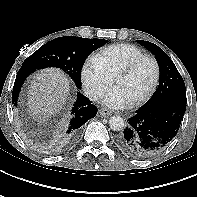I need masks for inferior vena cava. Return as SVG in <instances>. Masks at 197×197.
I'll return each mask as SVG.
<instances>
[{"label":"inferior vena cava","instance_id":"1","mask_svg":"<svg viewBox=\"0 0 197 197\" xmlns=\"http://www.w3.org/2000/svg\"><path fill=\"white\" fill-rule=\"evenodd\" d=\"M86 96L92 101H97L101 97V94L94 90H88L86 91Z\"/></svg>","mask_w":197,"mask_h":197}]
</instances>
